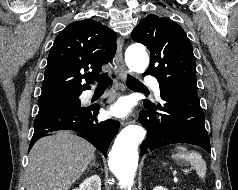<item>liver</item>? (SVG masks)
<instances>
[{"label": "liver", "mask_w": 238, "mask_h": 190, "mask_svg": "<svg viewBox=\"0 0 238 190\" xmlns=\"http://www.w3.org/2000/svg\"><path fill=\"white\" fill-rule=\"evenodd\" d=\"M95 148L70 131L39 139L29 153L26 190H68L86 171Z\"/></svg>", "instance_id": "1"}]
</instances>
